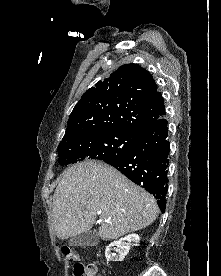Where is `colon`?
<instances>
[{"mask_svg": "<svg viewBox=\"0 0 221 276\" xmlns=\"http://www.w3.org/2000/svg\"><path fill=\"white\" fill-rule=\"evenodd\" d=\"M62 255L66 261L73 262L74 264V276H96L98 267L95 264L83 266L78 263V254L76 251L66 247L62 250Z\"/></svg>", "mask_w": 221, "mask_h": 276, "instance_id": "1", "label": "colon"}]
</instances>
